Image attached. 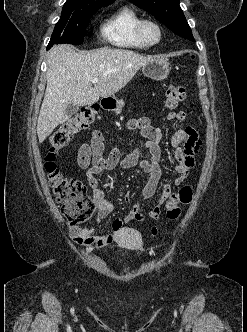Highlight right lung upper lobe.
Masks as SVG:
<instances>
[{"label":"right lung upper lobe","mask_w":247,"mask_h":332,"mask_svg":"<svg viewBox=\"0 0 247 332\" xmlns=\"http://www.w3.org/2000/svg\"><path fill=\"white\" fill-rule=\"evenodd\" d=\"M115 0H67V3L77 4H111Z\"/></svg>","instance_id":"right-lung-upper-lobe-1"}]
</instances>
